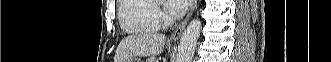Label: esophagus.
<instances>
[{
	"mask_svg": "<svg viewBox=\"0 0 331 62\" xmlns=\"http://www.w3.org/2000/svg\"><path fill=\"white\" fill-rule=\"evenodd\" d=\"M196 6H197V0H193L188 14L186 15L184 20L177 26V28L171 34V36H170L171 41H176L180 38V36H181L183 30L185 29V27H186L191 15L193 14V11L195 10Z\"/></svg>",
	"mask_w": 331,
	"mask_h": 62,
	"instance_id": "34e87169",
	"label": "esophagus"
}]
</instances>
